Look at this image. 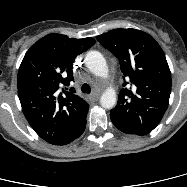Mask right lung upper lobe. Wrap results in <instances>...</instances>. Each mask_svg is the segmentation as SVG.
<instances>
[{"mask_svg":"<svg viewBox=\"0 0 187 187\" xmlns=\"http://www.w3.org/2000/svg\"><path fill=\"white\" fill-rule=\"evenodd\" d=\"M95 42L49 34L22 60L17 77L22 110L35 132L50 144H66L86 120L87 102L68 87L73 80L71 63Z\"/></svg>","mask_w":187,"mask_h":187,"instance_id":"cb5924a9","label":"right lung upper lobe"}]
</instances>
